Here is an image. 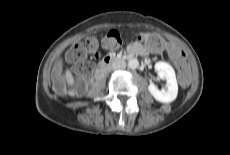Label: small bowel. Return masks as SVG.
<instances>
[{"label": "small bowel", "mask_w": 230, "mask_h": 155, "mask_svg": "<svg viewBox=\"0 0 230 155\" xmlns=\"http://www.w3.org/2000/svg\"><path fill=\"white\" fill-rule=\"evenodd\" d=\"M162 49V47H153L150 45H142L140 42H133L130 44L129 46V51H133L135 52V54L137 55H147L149 53L154 54V53H158L160 52V50Z\"/></svg>", "instance_id": "small-bowel-1"}]
</instances>
